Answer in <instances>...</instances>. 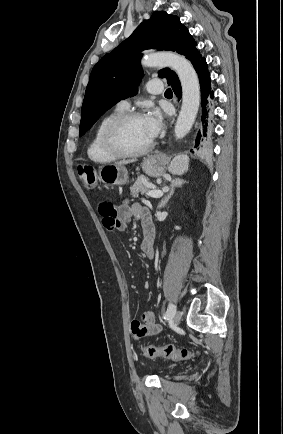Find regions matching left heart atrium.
Here are the masks:
<instances>
[{"label":"left heart atrium","instance_id":"39dd6f15","mask_svg":"<svg viewBox=\"0 0 283 434\" xmlns=\"http://www.w3.org/2000/svg\"><path fill=\"white\" fill-rule=\"evenodd\" d=\"M144 124L151 139L155 138L162 128V117L158 110L153 109L143 116Z\"/></svg>","mask_w":283,"mask_h":434}]
</instances>
